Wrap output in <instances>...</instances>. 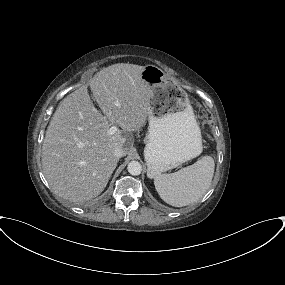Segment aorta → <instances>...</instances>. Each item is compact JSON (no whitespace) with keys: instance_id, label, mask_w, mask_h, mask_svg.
<instances>
[{"instance_id":"aorta-1","label":"aorta","mask_w":285,"mask_h":285,"mask_svg":"<svg viewBox=\"0 0 285 285\" xmlns=\"http://www.w3.org/2000/svg\"><path fill=\"white\" fill-rule=\"evenodd\" d=\"M127 169L128 172L133 176L140 175L142 172V166L138 161H131L128 164Z\"/></svg>"}]
</instances>
